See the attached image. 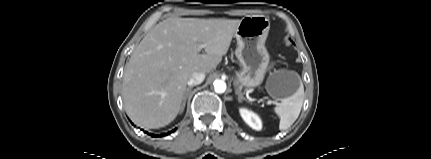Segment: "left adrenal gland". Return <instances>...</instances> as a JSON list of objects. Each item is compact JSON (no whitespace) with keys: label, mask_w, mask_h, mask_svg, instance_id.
Instances as JSON below:
<instances>
[{"label":"left adrenal gland","mask_w":431,"mask_h":159,"mask_svg":"<svg viewBox=\"0 0 431 159\" xmlns=\"http://www.w3.org/2000/svg\"><path fill=\"white\" fill-rule=\"evenodd\" d=\"M236 94L238 95V101L239 102H242L243 100L248 102V100L243 96V94L241 93L240 90L237 89Z\"/></svg>","instance_id":"1"}]
</instances>
